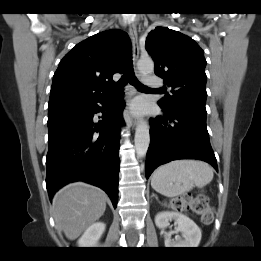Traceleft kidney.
Instances as JSON below:
<instances>
[{
    "instance_id": "1",
    "label": "left kidney",
    "mask_w": 261,
    "mask_h": 261,
    "mask_svg": "<svg viewBox=\"0 0 261 261\" xmlns=\"http://www.w3.org/2000/svg\"><path fill=\"white\" fill-rule=\"evenodd\" d=\"M170 220L175 221L177 228L175 231L165 233V247H198L202 234L200 228L193 220L179 212H161L155 216V224L161 230H164L169 225ZM178 232H181L182 236H176L175 239H171V235Z\"/></svg>"
}]
</instances>
